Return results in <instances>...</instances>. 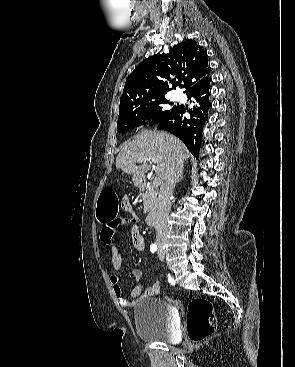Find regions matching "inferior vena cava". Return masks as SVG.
<instances>
[{
	"instance_id": "602c4592",
	"label": "inferior vena cava",
	"mask_w": 295,
	"mask_h": 367,
	"mask_svg": "<svg viewBox=\"0 0 295 367\" xmlns=\"http://www.w3.org/2000/svg\"><path fill=\"white\" fill-rule=\"evenodd\" d=\"M182 165L174 163L160 187L158 195L157 217H156V243L158 246L163 245L168 233V219L171 209L170 197L172 196L175 184L179 179Z\"/></svg>"
}]
</instances>
